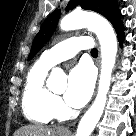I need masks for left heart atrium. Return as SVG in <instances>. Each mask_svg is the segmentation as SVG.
<instances>
[{
	"label": "left heart atrium",
	"mask_w": 136,
	"mask_h": 136,
	"mask_svg": "<svg viewBox=\"0 0 136 136\" xmlns=\"http://www.w3.org/2000/svg\"><path fill=\"white\" fill-rule=\"evenodd\" d=\"M95 83V74L87 63H79L75 66L68 79V87L65 93V101L73 108L84 106L90 99Z\"/></svg>",
	"instance_id": "left-heart-atrium-1"
}]
</instances>
